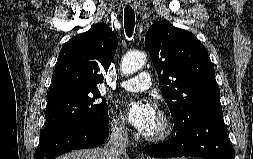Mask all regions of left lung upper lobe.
Returning <instances> with one entry per match:
<instances>
[{"instance_id": "5c2ea615", "label": "left lung upper lobe", "mask_w": 253, "mask_h": 159, "mask_svg": "<svg viewBox=\"0 0 253 159\" xmlns=\"http://www.w3.org/2000/svg\"><path fill=\"white\" fill-rule=\"evenodd\" d=\"M145 44L175 127L190 113L222 111L214 67L206 48L192 33L159 21L147 31Z\"/></svg>"}]
</instances>
